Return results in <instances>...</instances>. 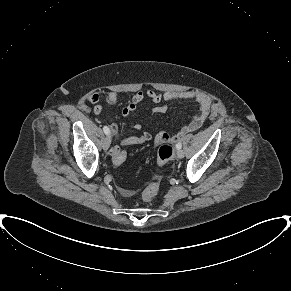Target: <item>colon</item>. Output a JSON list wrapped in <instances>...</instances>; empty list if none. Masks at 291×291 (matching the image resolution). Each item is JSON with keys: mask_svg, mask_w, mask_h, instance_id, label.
I'll list each match as a JSON object with an SVG mask.
<instances>
[{"mask_svg": "<svg viewBox=\"0 0 291 291\" xmlns=\"http://www.w3.org/2000/svg\"><path fill=\"white\" fill-rule=\"evenodd\" d=\"M173 154L174 149L172 145L167 143L161 145L158 151V165L160 167L166 165L173 157ZM110 157L112 165L114 167H119L125 162L127 154L121 149H112ZM159 189L160 183L158 181L152 182L142 193L143 202L150 203L158 194Z\"/></svg>", "mask_w": 291, "mask_h": 291, "instance_id": "5ec220e1", "label": "colon"}]
</instances>
